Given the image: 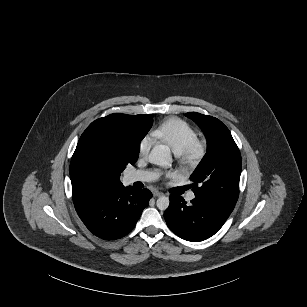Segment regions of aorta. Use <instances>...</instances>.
<instances>
[{"label": "aorta", "instance_id": "1", "mask_svg": "<svg viewBox=\"0 0 307 307\" xmlns=\"http://www.w3.org/2000/svg\"><path fill=\"white\" fill-rule=\"evenodd\" d=\"M149 162L162 167H167L172 164V156L170 148L167 145H156L149 154ZM169 198L160 196L157 199L156 205L160 210H166L169 206Z\"/></svg>", "mask_w": 307, "mask_h": 307}]
</instances>
